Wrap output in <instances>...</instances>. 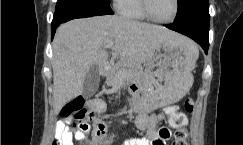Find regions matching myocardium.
Masks as SVG:
<instances>
[{
	"label": "myocardium",
	"instance_id": "1",
	"mask_svg": "<svg viewBox=\"0 0 243 145\" xmlns=\"http://www.w3.org/2000/svg\"><path fill=\"white\" fill-rule=\"evenodd\" d=\"M140 1V7L144 15L147 19H149L152 22L159 23V24H170L175 21L178 13H179V0H174V12L170 19L168 20H158L150 12L149 9V0H139Z\"/></svg>",
	"mask_w": 243,
	"mask_h": 145
}]
</instances>
